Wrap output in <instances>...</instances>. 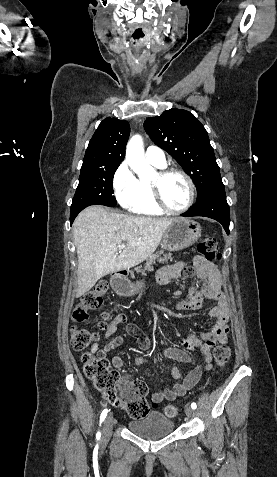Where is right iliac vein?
I'll return each mask as SVG.
<instances>
[{
    "mask_svg": "<svg viewBox=\"0 0 277 477\" xmlns=\"http://www.w3.org/2000/svg\"><path fill=\"white\" fill-rule=\"evenodd\" d=\"M113 414H109L103 425V433H102V442H107L111 436L112 428H113Z\"/></svg>",
    "mask_w": 277,
    "mask_h": 477,
    "instance_id": "63e3f726",
    "label": "right iliac vein"
}]
</instances>
